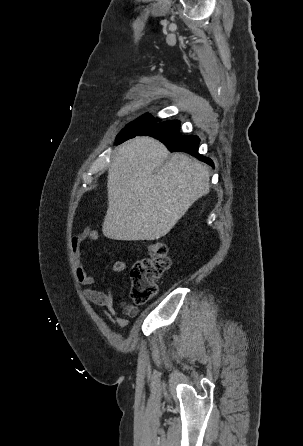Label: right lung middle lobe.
I'll return each instance as SVG.
<instances>
[{"mask_svg":"<svg viewBox=\"0 0 303 446\" xmlns=\"http://www.w3.org/2000/svg\"><path fill=\"white\" fill-rule=\"evenodd\" d=\"M159 119L152 117L151 114L147 113L135 121L128 124L118 135L116 138L117 143H121L125 140L133 138L142 132L149 129L151 126L155 125Z\"/></svg>","mask_w":303,"mask_h":446,"instance_id":"1","label":"right lung middle lobe"}]
</instances>
